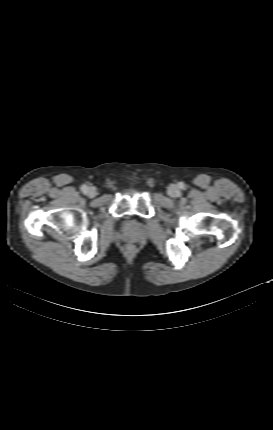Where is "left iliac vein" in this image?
<instances>
[{"instance_id":"1","label":"left iliac vein","mask_w":273,"mask_h":430,"mask_svg":"<svg viewBox=\"0 0 273 430\" xmlns=\"http://www.w3.org/2000/svg\"><path fill=\"white\" fill-rule=\"evenodd\" d=\"M168 194H169L170 196H172V197H176V196H178V194H179V190H178L177 186H175V185H171V186L168 188Z\"/></svg>"}]
</instances>
